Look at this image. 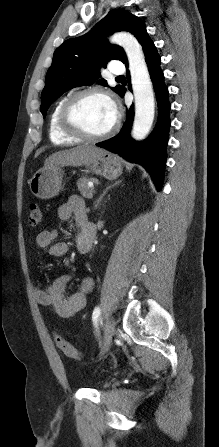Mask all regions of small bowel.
Instances as JSON below:
<instances>
[{"label": "small bowel", "mask_w": 219, "mask_h": 447, "mask_svg": "<svg viewBox=\"0 0 219 447\" xmlns=\"http://www.w3.org/2000/svg\"><path fill=\"white\" fill-rule=\"evenodd\" d=\"M85 216V202L79 195H72L58 209V218L60 220L67 221L74 219L78 226L79 232L76 238V249L78 252H82V222ZM57 236L58 232L55 229L43 230L37 235V246L41 249H48V255L51 257H64L69 251V245L64 241H55ZM73 277V273L63 274L57 277L47 287H41L34 282L32 287L37 303L43 308L57 314L59 317H74L86 306L87 295L93 288V281L91 278H84L81 282L80 289L68 294L67 287Z\"/></svg>", "instance_id": "small-bowel-1"}]
</instances>
